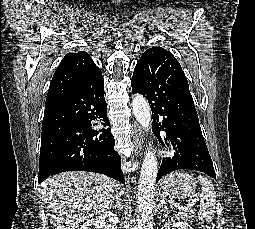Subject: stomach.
I'll return each mask as SVG.
<instances>
[{
  "label": "stomach",
  "instance_id": "0dacf381",
  "mask_svg": "<svg viewBox=\"0 0 255 229\" xmlns=\"http://www.w3.org/2000/svg\"><path fill=\"white\" fill-rule=\"evenodd\" d=\"M197 188L196 179L185 172L175 171L165 176L159 190L170 199H180L192 196Z\"/></svg>",
  "mask_w": 255,
  "mask_h": 229
}]
</instances>
